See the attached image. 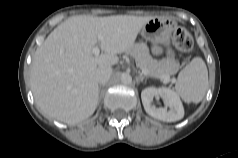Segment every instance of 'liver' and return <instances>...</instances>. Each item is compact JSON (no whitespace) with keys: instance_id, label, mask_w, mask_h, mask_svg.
<instances>
[{"instance_id":"1","label":"liver","mask_w":238,"mask_h":158,"mask_svg":"<svg viewBox=\"0 0 238 158\" xmlns=\"http://www.w3.org/2000/svg\"><path fill=\"white\" fill-rule=\"evenodd\" d=\"M153 17L73 16L58 25L33 56L30 81L35 102L48 116L67 124L90 117L98 105L99 65H115ZM98 35L104 39L98 41ZM99 44L103 53L94 55Z\"/></svg>"}]
</instances>
